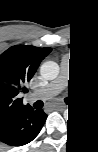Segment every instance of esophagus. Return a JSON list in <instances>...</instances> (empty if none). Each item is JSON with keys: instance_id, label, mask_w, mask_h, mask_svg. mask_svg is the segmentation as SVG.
<instances>
[{"instance_id": "34e87169", "label": "esophagus", "mask_w": 98, "mask_h": 152, "mask_svg": "<svg viewBox=\"0 0 98 152\" xmlns=\"http://www.w3.org/2000/svg\"><path fill=\"white\" fill-rule=\"evenodd\" d=\"M51 109H56V110H60V111H62V110H64L65 109V105H63V104H60V103H52V104H50V106H49Z\"/></svg>"}]
</instances>
